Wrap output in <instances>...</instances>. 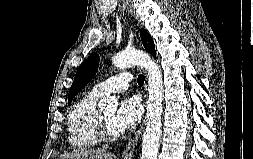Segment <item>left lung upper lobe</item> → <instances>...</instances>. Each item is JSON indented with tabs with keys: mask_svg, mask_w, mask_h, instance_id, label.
<instances>
[{
	"mask_svg": "<svg viewBox=\"0 0 253 159\" xmlns=\"http://www.w3.org/2000/svg\"><path fill=\"white\" fill-rule=\"evenodd\" d=\"M141 40L145 49L152 54L156 55L154 42L149 33L141 29L140 30ZM99 66V55L92 54L89 56L79 67L74 82L70 88L68 94V104H71L72 99L87 85V83L95 76Z\"/></svg>",
	"mask_w": 253,
	"mask_h": 159,
	"instance_id": "obj_1",
	"label": "left lung upper lobe"
}]
</instances>
